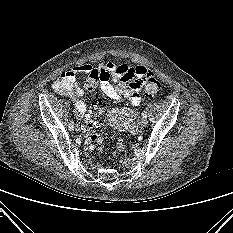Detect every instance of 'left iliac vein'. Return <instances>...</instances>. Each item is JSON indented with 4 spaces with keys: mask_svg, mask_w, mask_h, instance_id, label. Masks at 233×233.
Wrapping results in <instances>:
<instances>
[{
    "mask_svg": "<svg viewBox=\"0 0 233 233\" xmlns=\"http://www.w3.org/2000/svg\"><path fill=\"white\" fill-rule=\"evenodd\" d=\"M146 125H147V119L142 117V119L139 122V126L145 127Z\"/></svg>",
    "mask_w": 233,
    "mask_h": 233,
    "instance_id": "left-iliac-vein-1",
    "label": "left iliac vein"
}]
</instances>
